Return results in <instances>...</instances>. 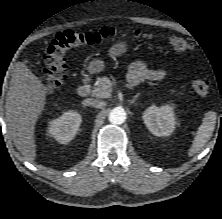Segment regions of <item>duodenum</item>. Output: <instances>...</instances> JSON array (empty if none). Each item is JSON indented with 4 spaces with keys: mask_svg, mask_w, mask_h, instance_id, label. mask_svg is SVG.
I'll use <instances>...</instances> for the list:
<instances>
[{
    "mask_svg": "<svg viewBox=\"0 0 222 219\" xmlns=\"http://www.w3.org/2000/svg\"><path fill=\"white\" fill-rule=\"evenodd\" d=\"M76 92L79 96L85 97L90 93V79L85 77L78 85Z\"/></svg>",
    "mask_w": 222,
    "mask_h": 219,
    "instance_id": "obj_1",
    "label": "duodenum"
}]
</instances>
